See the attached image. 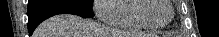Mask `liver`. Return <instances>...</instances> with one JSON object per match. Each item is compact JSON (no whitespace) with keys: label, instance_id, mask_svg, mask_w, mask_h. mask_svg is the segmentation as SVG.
I'll list each match as a JSON object with an SVG mask.
<instances>
[{"label":"liver","instance_id":"6515ba94","mask_svg":"<svg viewBox=\"0 0 219 37\" xmlns=\"http://www.w3.org/2000/svg\"><path fill=\"white\" fill-rule=\"evenodd\" d=\"M98 26L99 24L96 22L77 15L61 14L42 22L33 33V37H115L97 36L95 29ZM107 35L126 34L112 33Z\"/></svg>","mask_w":219,"mask_h":37}]
</instances>
